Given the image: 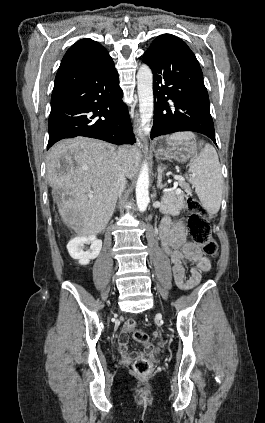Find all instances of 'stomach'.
Segmentation results:
<instances>
[{
	"label": "stomach",
	"mask_w": 265,
	"mask_h": 423,
	"mask_svg": "<svg viewBox=\"0 0 265 423\" xmlns=\"http://www.w3.org/2000/svg\"><path fill=\"white\" fill-rule=\"evenodd\" d=\"M201 151L202 145L195 140L176 142L171 141L169 137L158 139L155 147V155L158 159H174L181 163L193 159Z\"/></svg>",
	"instance_id": "1"
}]
</instances>
